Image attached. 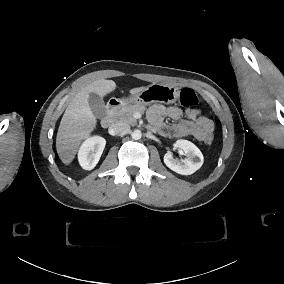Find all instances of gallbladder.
<instances>
[{"mask_svg":"<svg viewBox=\"0 0 284 284\" xmlns=\"http://www.w3.org/2000/svg\"><path fill=\"white\" fill-rule=\"evenodd\" d=\"M89 104L93 115L96 118L102 119L106 116V107L103 99L94 93L89 95Z\"/></svg>","mask_w":284,"mask_h":284,"instance_id":"obj_1","label":"gallbladder"}]
</instances>
